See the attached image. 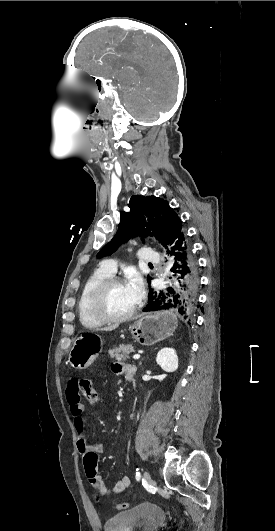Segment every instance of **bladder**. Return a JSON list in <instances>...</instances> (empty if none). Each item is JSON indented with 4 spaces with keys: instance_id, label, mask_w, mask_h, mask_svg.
<instances>
[{
    "instance_id": "1",
    "label": "bladder",
    "mask_w": 275,
    "mask_h": 531,
    "mask_svg": "<svg viewBox=\"0 0 275 531\" xmlns=\"http://www.w3.org/2000/svg\"><path fill=\"white\" fill-rule=\"evenodd\" d=\"M167 513L158 504L141 503L104 520V531H157Z\"/></svg>"
}]
</instances>
